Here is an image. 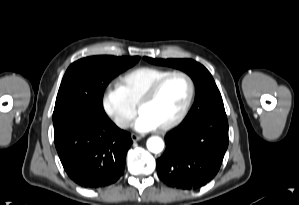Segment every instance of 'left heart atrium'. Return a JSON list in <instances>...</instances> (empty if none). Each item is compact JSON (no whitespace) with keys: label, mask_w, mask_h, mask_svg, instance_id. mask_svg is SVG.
Here are the masks:
<instances>
[{"label":"left heart atrium","mask_w":299,"mask_h":205,"mask_svg":"<svg viewBox=\"0 0 299 205\" xmlns=\"http://www.w3.org/2000/svg\"><path fill=\"white\" fill-rule=\"evenodd\" d=\"M133 127L138 132H149L157 128L156 123L147 115L140 113L133 123Z\"/></svg>","instance_id":"1"}]
</instances>
